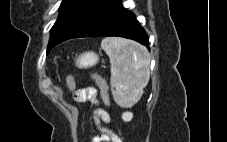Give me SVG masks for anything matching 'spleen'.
<instances>
[{"label":"spleen","instance_id":"obj_1","mask_svg":"<svg viewBox=\"0 0 227 142\" xmlns=\"http://www.w3.org/2000/svg\"><path fill=\"white\" fill-rule=\"evenodd\" d=\"M101 47L111 64L110 85L115 102L121 107L137 103L150 78L147 48L123 38H105Z\"/></svg>","mask_w":227,"mask_h":142}]
</instances>
